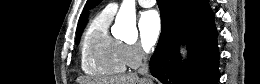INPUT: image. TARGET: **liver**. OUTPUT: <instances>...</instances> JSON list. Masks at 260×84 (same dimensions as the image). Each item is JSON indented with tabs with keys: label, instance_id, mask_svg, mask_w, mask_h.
I'll use <instances>...</instances> for the list:
<instances>
[{
	"label": "liver",
	"instance_id": "1",
	"mask_svg": "<svg viewBox=\"0 0 260 84\" xmlns=\"http://www.w3.org/2000/svg\"><path fill=\"white\" fill-rule=\"evenodd\" d=\"M86 84H151L148 79H139L136 73L106 77L98 80H86Z\"/></svg>",
	"mask_w": 260,
	"mask_h": 84
}]
</instances>
